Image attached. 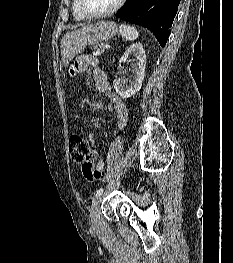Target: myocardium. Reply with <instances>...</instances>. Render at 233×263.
Returning a JSON list of instances; mask_svg holds the SVG:
<instances>
[{
    "label": "myocardium",
    "instance_id": "myocardium-1",
    "mask_svg": "<svg viewBox=\"0 0 233 263\" xmlns=\"http://www.w3.org/2000/svg\"><path fill=\"white\" fill-rule=\"evenodd\" d=\"M126 0H117L116 3L108 10L100 12V13H90L86 11L83 7L82 0H77V6L80 11V13L85 17L89 19H99L104 18L107 16H110L114 13H116L125 3Z\"/></svg>",
    "mask_w": 233,
    "mask_h": 263
}]
</instances>
